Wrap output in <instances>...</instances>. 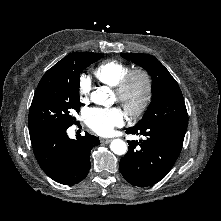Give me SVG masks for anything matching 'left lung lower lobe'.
Here are the masks:
<instances>
[{"instance_id": "left-lung-lower-lobe-1", "label": "left lung lower lobe", "mask_w": 221, "mask_h": 221, "mask_svg": "<svg viewBox=\"0 0 221 221\" xmlns=\"http://www.w3.org/2000/svg\"><path fill=\"white\" fill-rule=\"evenodd\" d=\"M176 112L172 122L158 126H134L126 130L127 134L146 137L139 142L128 141L129 150L120 160V171L132 185H153L173 167L181 152L188 125L186 107L181 106Z\"/></svg>"}]
</instances>
